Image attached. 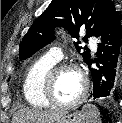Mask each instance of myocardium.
<instances>
[{
    "mask_svg": "<svg viewBox=\"0 0 122 123\" xmlns=\"http://www.w3.org/2000/svg\"><path fill=\"white\" fill-rule=\"evenodd\" d=\"M66 69H73L80 74L82 79V88L76 98L68 102H62L55 97L54 86H55L56 77L59 74V72ZM88 88H89V80L86 74L79 66L72 63H60V64H55L48 71L46 75L45 82H44V96L46 100L50 103V105L69 108L78 105L85 98Z\"/></svg>",
    "mask_w": 122,
    "mask_h": 123,
    "instance_id": "f54148a6",
    "label": "myocardium"
}]
</instances>
